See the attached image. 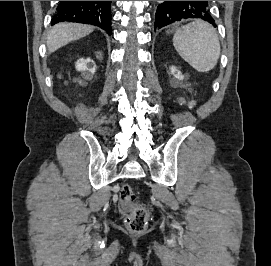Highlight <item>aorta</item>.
Segmentation results:
<instances>
[{
    "mask_svg": "<svg viewBox=\"0 0 271 266\" xmlns=\"http://www.w3.org/2000/svg\"><path fill=\"white\" fill-rule=\"evenodd\" d=\"M159 3H163L164 1H158Z\"/></svg>",
    "mask_w": 271,
    "mask_h": 266,
    "instance_id": "obj_1",
    "label": "aorta"
}]
</instances>
